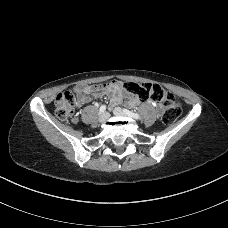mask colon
Returning a JSON list of instances; mask_svg holds the SVG:
<instances>
[{"mask_svg":"<svg viewBox=\"0 0 228 228\" xmlns=\"http://www.w3.org/2000/svg\"><path fill=\"white\" fill-rule=\"evenodd\" d=\"M124 89L141 100L163 102L162 121L171 124L181 115V105L160 86L151 83L126 82ZM55 114L60 120H68L75 112V95L71 90L59 93L54 101Z\"/></svg>","mask_w":228,"mask_h":228,"instance_id":"colon-1","label":"colon"}]
</instances>
